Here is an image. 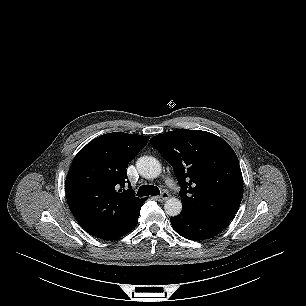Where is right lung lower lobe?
I'll return each mask as SVG.
<instances>
[{
    "mask_svg": "<svg viewBox=\"0 0 306 306\" xmlns=\"http://www.w3.org/2000/svg\"><path fill=\"white\" fill-rule=\"evenodd\" d=\"M140 208L141 206L135 211V214L133 215L132 219L130 220V222L128 223V225L120 232L118 233L114 238H112L111 240H116L124 235H126L127 233H129L130 231H132L137 223H138V217L140 214Z\"/></svg>",
    "mask_w": 306,
    "mask_h": 306,
    "instance_id": "1",
    "label": "right lung lower lobe"
}]
</instances>
